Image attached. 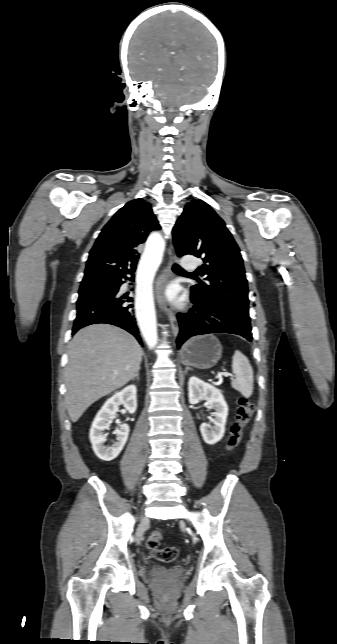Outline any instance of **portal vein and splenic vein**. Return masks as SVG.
<instances>
[{
  "label": "portal vein and splenic vein",
  "mask_w": 337,
  "mask_h": 644,
  "mask_svg": "<svg viewBox=\"0 0 337 644\" xmlns=\"http://www.w3.org/2000/svg\"><path fill=\"white\" fill-rule=\"evenodd\" d=\"M219 376L233 377V375L228 373V372H221V373H219Z\"/></svg>",
  "instance_id": "portal-vein-and-splenic-vein-1"
}]
</instances>
